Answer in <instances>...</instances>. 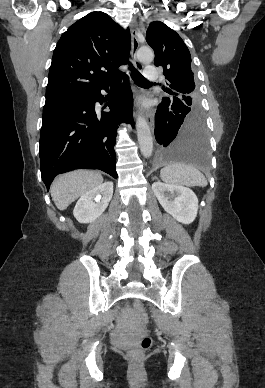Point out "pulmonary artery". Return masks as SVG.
I'll return each mask as SVG.
<instances>
[{
    "mask_svg": "<svg viewBox=\"0 0 265 388\" xmlns=\"http://www.w3.org/2000/svg\"><path fill=\"white\" fill-rule=\"evenodd\" d=\"M157 69V64H148L147 72H142L141 74L142 79H150L152 82H155L157 80Z\"/></svg>",
    "mask_w": 265,
    "mask_h": 388,
    "instance_id": "pulmonary-artery-1",
    "label": "pulmonary artery"
}]
</instances>
